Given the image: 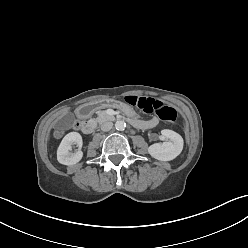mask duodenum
<instances>
[{
	"mask_svg": "<svg viewBox=\"0 0 248 248\" xmlns=\"http://www.w3.org/2000/svg\"><path fill=\"white\" fill-rule=\"evenodd\" d=\"M93 111H90L89 110V105H86V106H82L80 109H79V116L81 118H85L87 116H89ZM132 123H136V121L134 120H131ZM81 130L83 133L85 134H92L95 130V122L93 121H82L81 122Z\"/></svg>",
	"mask_w": 248,
	"mask_h": 248,
	"instance_id": "duodenum-1",
	"label": "duodenum"
}]
</instances>
